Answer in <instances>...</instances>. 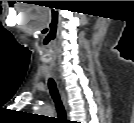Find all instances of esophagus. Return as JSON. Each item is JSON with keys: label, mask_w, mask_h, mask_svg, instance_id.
Returning <instances> with one entry per match:
<instances>
[{"label": "esophagus", "mask_w": 134, "mask_h": 123, "mask_svg": "<svg viewBox=\"0 0 134 123\" xmlns=\"http://www.w3.org/2000/svg\"><path fill=\"white\" fill-rule=\"evenodd\" d=\"M61 97L63 99V102H64L65 106H66V95L62 90H61Z\"/></svg>", "instance_id": "34e87169"}]
</instances>
